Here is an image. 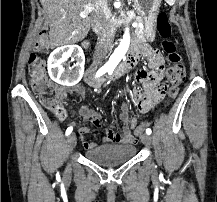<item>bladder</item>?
Masks as SVG:
<instances>
[{"label": "bladder", "mask_w": 217, "mask_h": 202, "mask_svg": "<svg viewBox=\"0 0 217 202\" xmlns=\"http://www.w3.org/2000/svg\"><path fill=\"white\" fill-rule=\"evenodd\" d=\"M135 152V147L130 144H123L100 146L94 150L86 151V156L102 166H114L127 162Z\"/></svg>", "instance_id": "31cf9c89"}]
</instances>
